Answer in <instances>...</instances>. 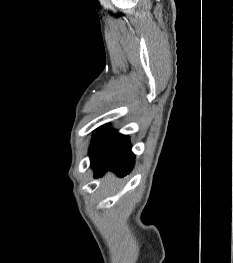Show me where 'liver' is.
<instances>
[{"mask_svg":"<svg viewBox=\"0 0 233 263\" xmlns=\"http://www.w3.org/2000/svg\"><path fill=\"white\" fill-rule=\"evenodd\" d=\"M115 179V176L113 174H108L104 180H103V184L108 186L110 185Z\"/></svg>","mask_w":233,"mask_h":263,"instance_id":"1","label":"liver"}]
</instances>
